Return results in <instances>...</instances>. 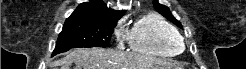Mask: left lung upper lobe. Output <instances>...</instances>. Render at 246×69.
<instances>
[{"instance_id":"5c2ea615","label":"left lung upper lobe","mask_w":246,"mask_h":69,"mask_svg":"<svg viewBox=\"0 0 246 69\" xmlns=\"http://www.w3.org/2000/svg\"><path fill=\"white\" fill-rule=\"evenodd\" d=\"M154 4V8L161 14L163 15L165 18H167L168 20H170L171 22H173L174 24H176L177 26L181 27V24L179 21H177L173 15L171 14L169 8L167 6L161 5L158 3L157 0H154L153 2Z\"/></svg>"}]
</instances>
